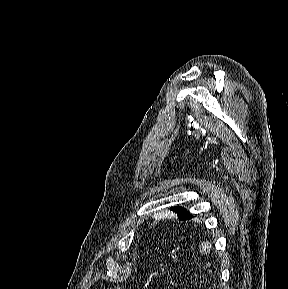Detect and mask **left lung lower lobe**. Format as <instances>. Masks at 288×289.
Wrapping results in <instances>:
<instances>
[{"label": "left lung lower lobe", "instance_id": "1", "mask_svg": "<svg viewBox=\"0 0 288 289\" xmlns=\"http://www.w3.org/2000/svg\"><path fill=\"white\" fill-rule=\"evenodd\" d=\"M192 218V216H190L187 220H189V219H191Z\"/></svg>", "mask_w": 288, "mask_h": 289}]
</instances>
